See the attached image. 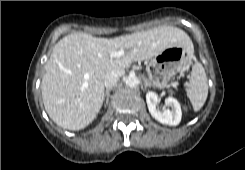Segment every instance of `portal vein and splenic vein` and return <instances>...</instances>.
<instances>
[{"label":"portal vein and splenic vein","instance_id":"18ae733b","mask_svg":"<svg viewBox=\"0 0 245 170\" xmlns=\"http://www.w3.org/2000/svg\"><path fill=\"white\" fill-rule=\"evenodd\" d=\"M123 55H124V51L123 50H119V51L112 52L110 54V57L111 58H118V57H121Z\"/></svg>","mask_w":245,"mask_h":170}]
</instances>
